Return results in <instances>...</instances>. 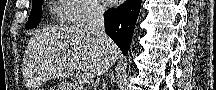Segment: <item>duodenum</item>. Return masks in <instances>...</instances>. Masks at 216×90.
Segmentation results:
<instances>
[{
	"mask_svg": "<svg viewBox=\"0 0 216 90\" xmlns=\"http://www.w3.org/2000/svg\"><path fill=\"white\" fill-rule=\"evenodd\" d=\"M71 90H86L85 87H72Z\"/></svg>",
	"mask_w": 216,
	"mask_h": 90,
	"instance_id": "duodenum-1",
	"label": "duodenum"
}]
</instances>
